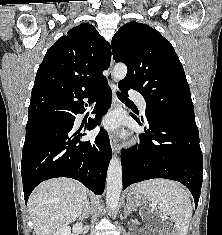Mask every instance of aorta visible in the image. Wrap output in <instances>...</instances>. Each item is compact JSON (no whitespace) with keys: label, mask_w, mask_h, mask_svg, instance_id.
I'll use <instances>...</instances> for the list:
<instances>
[{"label":"aorta","mask_w":222,"mask_h":235,"mask_svg":"<svg viewBox=\"0 0 222 235\" xmlns=\"http://www.w3.org/2000/svg\"><path fill=\"white\" fill-rule=\"evenodd\" d=\"M127 74V67L123 63L114 66L112 77L116 81L123 80ZM122 191V165L120 159L114 155L107 172L106 204L110 212L117 208Z\"/></svg>","instance_id":"762f6f07"}]
</instances>
